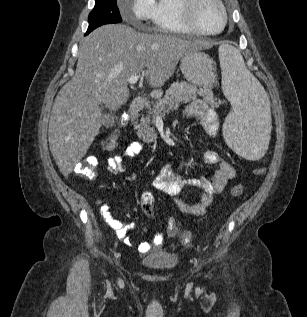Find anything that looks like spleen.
<instances>
[{"label": "spleen", "instance_id": "3e777b00", "mask_svg": "<svg viewBox=\"0 0 307 317\" xmlns=\"http://www.w3.org/2000/svg\"><path fill=\"white\" fill-rule=\"evenodd\" d=\"M219 58L223 93L235 103L234 113L227 116L223 125V136L236 155L257 160L268 145L273 106L264 86L245 67L236 48L221 45Z\"/></svg>", "mask_w": 307, "mask_h": 317}]
</instances>
